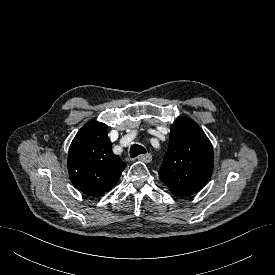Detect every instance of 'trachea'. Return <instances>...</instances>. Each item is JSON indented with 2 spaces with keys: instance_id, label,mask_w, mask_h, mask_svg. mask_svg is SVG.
Returning <instances> with one entry per match:
<instances>
[{
  "instance_id": "3493384b",
  "label": "trachea",
  "mask_w": 275,
  "mask_h": 275,
  "mask_svg": "<svg viewBox=\"0 0 275 275\" xmlns=\"http://www.w3.org/2000/svg\"><path fill=\"white\" fill-rule=\"evenodd\" d=\"M144 153H146V149L141 145L133 144L130 147V156H131V158H135L138 155L144 154Z\"/></svg>"
}]
</instances>
